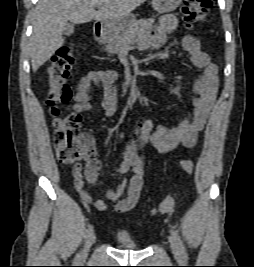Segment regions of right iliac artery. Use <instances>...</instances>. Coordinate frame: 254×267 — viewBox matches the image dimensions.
Instances as JSON below:
<instances>
[{"label": "right iliac artery", "mask_w": 254, "mask_h": 267, "mask_svg": "<svg viewBox=\"0 0 254 267\" xmlns=\"http://www.w3.org/2000/svg\"><path fill=\"white\" fill-rule=\"evenodd\" d=\"M92 231H93V226L89 225L88 228L86 229L85 233H84V238H87ZM79 258H80V255L77 254L75 257V262H78Z\"/></svg>", "instance_id": "obj_1"}]
</instances>
